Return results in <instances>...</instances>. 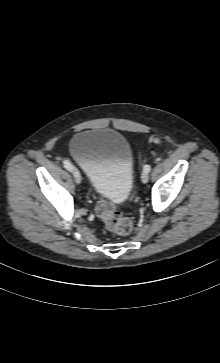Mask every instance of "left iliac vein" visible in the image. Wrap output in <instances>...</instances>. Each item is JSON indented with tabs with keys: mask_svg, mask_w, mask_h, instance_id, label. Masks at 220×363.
Instances as JSON below:
<instances>
[{
	"mask_svg": "<svg viewBox=\"0 0 220 363\" xmlns=\"http://www.w3.org/2000/svg\"><path fill=\"white\" fill-rule=\"evenodd\" d=\"M141 180H142V182H143V183H147V182H148V180H149V175H148V173H147V172H145V171H143V172H142Z\"/></svg>",
	"mask_w": 220,
	"mask_h": 363,
	"instance_id": "left-iliac-vein-1",
	"label": "left iliac vein"
}]
</instances>
